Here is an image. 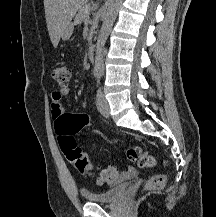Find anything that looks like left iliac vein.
<instances>
[{
	"mask_svg": "<svg viewBox=\"0 0 216 217\" xmlns=\"http://www.w3.org/2000/svg\"><path fill=\"white\" fill-rule=\"evenodd\" d=\"M96 104L99 112L104 117L108 118L110 116L109 103L101 90L97 92Z\"/></svg>",
	"mask_w": 216,
	"mask_h": 217,
	"instance_id": "left-iliac-vein-1",
	"label": "left iliac vein"
}]
</instances>
